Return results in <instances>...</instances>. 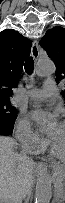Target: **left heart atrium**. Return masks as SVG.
Listing matches in <instances>:
<instances>
[{
	"label": "left heart atrium",
	"mask_w": 65,
	"mask_h": 203,
	"mask_svg": "<svg viewBox=\"0 0 65 203\" xmlns=\"http://www.w3.org/2000/svg\"><path fill=\"white\" fill-rule=\"evenodd\" d=\"M49 117H51L49 114L41 110H36L32 112V119L40 126H42L44 120Z\"/></svg>",
	"instance_id": "1"
}]
</instances>
